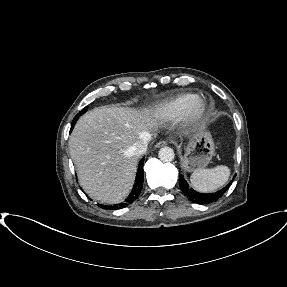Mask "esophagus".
I'll use <instances>...</instances> for the list:
<instances>
[{"mask_svg": "<svg viewBox=\"0 0 287 287\" xmlns=\"http://www.w3.org/2000/svg\"><path fill=\"white\" fill-rule=\"evenodd\" d=\"M167 144H168L167 141H165V140H160L159 142H157V143L155 144V148H160V147L166 146Z\"/></svg>", "mask_w": 287, "mask_h": 287, "instance_id": "obj_1", "label": "esophagus"}]
</instances>
